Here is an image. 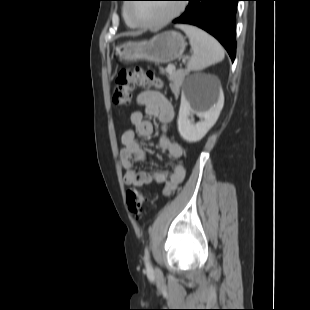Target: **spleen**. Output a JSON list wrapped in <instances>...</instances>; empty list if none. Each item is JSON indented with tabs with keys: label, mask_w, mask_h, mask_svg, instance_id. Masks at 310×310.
<instances>
[{
	"label": "spleen",
	"mask_w": 310,
	"mask_h": 310,
	"mask_svg": "<svg viewBox=\"0 0 310 310\" xmlns=\"http://www.w3.org/2000/svg\"><path fill=\"white\" fill-rule=\"evenodd\" d=\"M177 27L188 36L193 51L187 70L201 71L224 59V49L214 37L195 26L181 24Z\"/></svg>",
	"instance_id": "spleen-1"
}]
</instances>
